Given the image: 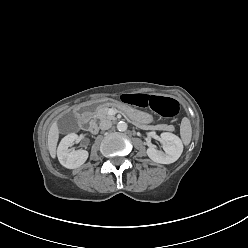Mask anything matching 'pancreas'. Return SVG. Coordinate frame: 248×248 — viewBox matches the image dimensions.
I'll use <instances>...</instances> for the list:
<instances>
[{"instance_id":"1","label":"pancreas","mask_w":248,"mask_h":248,"mask_svg":"<svg viewBox=\"0 0 248 248\" xmlns=\"http://www.w3.org/2000/svg\"><path fill=\"white\" fill-rule=\"evenodd\" d=\"M117 105L115 103H107L99 107V109L96 112L95 118L100 120L105 119H114L113 116H110L108 114V110L110 107H116ZM140 128L143 129H156V130H167V131H174V127L172 125H156V126H150V125H144V124H138Z\"/></svg>"}]
</instances>
